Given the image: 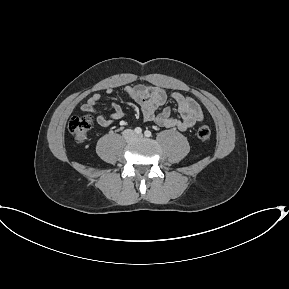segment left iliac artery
I'll return each instance as SVG.
<instances>
[{
	"label": "left iliac artery",
	"instance_id": "obj_1",
	"mask_svg": "<svg viewBox=\"0 0 289 289\" xmlns=\"http://www.w3.org/2000/svg\"><path fill=\"white\" fill-rule=\"evenodd\" d=\"M144 135H145L146 137H151V136H152V133H151V131L146 130V131L144 132Z\"/></svg>",
	"mask_w": 289,
	"mask_h": 289
}]
</instances>
